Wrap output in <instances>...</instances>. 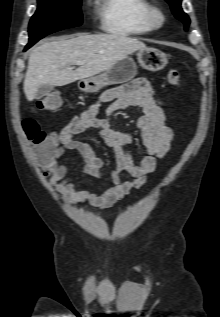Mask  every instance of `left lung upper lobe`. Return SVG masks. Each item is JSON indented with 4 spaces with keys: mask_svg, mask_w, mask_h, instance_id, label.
Masks as SVG:
<instances>
[{
    "mask_svg": "<svg viewBox=\"0 0 220 317\" xmlns=\"http://www.w3.org/2000/svg\"><path fill=\"white\" fill-rule=\"evenodd\" d=\"M166 1L170 4L174 15L185 24V29L187 30L190 23V19L183 12L181 8V0H166Z\"/></svg>",
    "mask_w": 220,
    "mask_h": 317,
    "instance_id": "1",
    "label": "left lung upper lobe"
}]
</instances>
